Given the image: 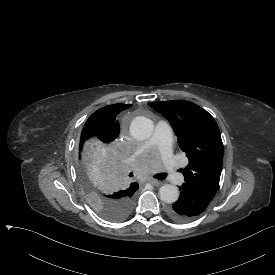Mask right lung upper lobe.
Returning <instances> with one entry per match:
<instances>
[{
	"mask_svg": "<svg viewBox=\"0 0 275 275\" xmlns=\"http://www.w3.org/2000/svg\"><path fill=\"white\" fill-rule=\"evenodd\" d=\"M130 106V104H113L97 110L88 118L81 136L90 134L99 137L103 143L112 142L120 132V125L116 120V116ZM138 188L137 183H132L123 192L125 196L133 195Z\"/></svg>",
	"mask_w": 275,
	"mask_h": 275,
	"instance_id": "1",
	"label": "right lung upper lobe"
}]
</instances>
